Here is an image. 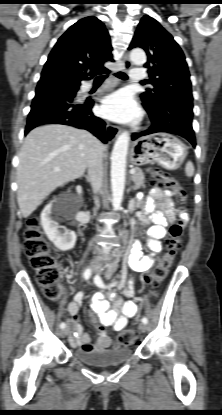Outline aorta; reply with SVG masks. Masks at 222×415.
Wrapping results in <instances>:
<instances>
[{"instance_id":"aorta-1","label":"aorta","mask_w":222,"mask_h":415,"mask_svg":"<svg viewBox=\"0 0 222 415\" xmlns=\"http://www.w3.org/2000/svg\"><path fill=\"white\" fill-rule=\"evenodd\" d=\"M130 59L135 65H143L146 62V54L142 49H133ZM130 136L127 132L121 133L112 150L111 155V191L112 206L115 211L121 208L125 187L126 156Z\"/></svg>"}]
</instances>
